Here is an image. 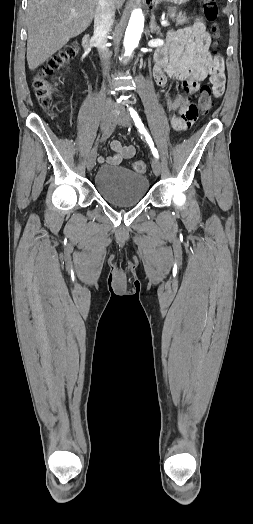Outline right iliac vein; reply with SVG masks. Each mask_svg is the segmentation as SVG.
Segmentation results:
<instances>
[{"label": "right iliac vein", "mask_w": 253, "mask_h": 524, "mask_svg": "<svg viewBox=\"0 0 253 524\" xmlns=\"http://www.w3.org/2000/svg\"><path fill=\"white\" fill-rule=\"evenodd\" d=\"M113 120V110L106 109L103 111L101 116V130H106V128L111 124ZM97 149L94 147L87 158V169L90 171L94 168L96 163Z\"/></svg>", "instance_id": "1"}]
</instances>
